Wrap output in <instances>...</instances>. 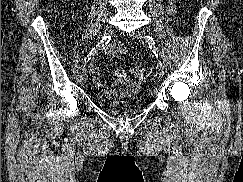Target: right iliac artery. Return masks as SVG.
Listing matches in <instances>:
<instances>
[{
    "label": "right iliac artery",
    "instance_id": "82829eb1",
    "mask_svg": "<svg viewBox=\"0 0 243 182\" xmlns=\"http://www.w3.org/2000/svg\"><path fill=\"white\" fill-rule=\"evenodd\" d=\"M111 41V36H104L102 38V40L94 47L92 48V50L89 52V54L87 55V58L84 59L83 65L85 66L86 63L95 55V53L98 50L103 49L105 46H107V44Z\"/></svg>",
    "mask_w": 243,
    "mask_h": 182
}]
</instances>
